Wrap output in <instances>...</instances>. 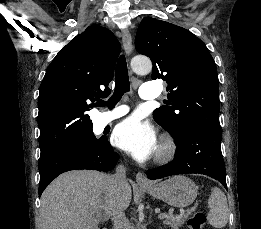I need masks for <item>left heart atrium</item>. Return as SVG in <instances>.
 Returning <instances> with one entry per match:
<instances>
[{"label":"left heart atrium","mask_w":261,"mask_h":229,"mask_svg":"<svg viewBox=\"0 0 261 229\" xmlns=\"http://www.w3.org/2000/svg\"><path fill=\"white\" fill-rule=\"evenodd\" d=\"M114 144L138 159L151 156L158 147L154 126L139 117L132 116L118 124L113 132Z\"/></svg>","instance_id":"1"}]
</instances>
